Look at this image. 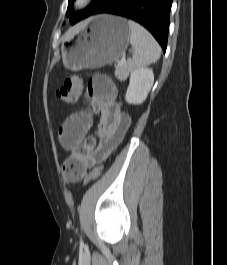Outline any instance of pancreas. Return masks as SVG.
I'll return each mask as SVG.
<instances>
[{
  "label": "pancreas",
  "mask_w": 227,
  "mask_h": 265,
  "mask_svg": "<svg viewBox=\"0 0 227 265\" xmlns=\"http://www.w3.org/2000/svg\"><path fill=\"white\" fill-rule=\"evenodd\" d=\"M131 71V65L129 62L124 63L122 66H117L114 75L120 80L124 81Z\"/></svg>",
  "instance_id": "pancreas-1"
}]
</instances>
